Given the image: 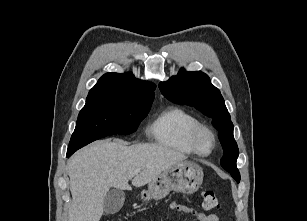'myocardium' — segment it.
Returning <instances> with one entry per match:
<instances>
[{"label":"myocardium","instance_id":"1","mask_svg":"<svg viewBox=\"0 0 307 221\" xmlns=\"http://www.w3.org/2000/svg\"><path fill=\"white\" fill-rule=\"evenodd\" d=\"M202 135H208L211 140V148L208 151H203L200 148L199 141ZM188 140L193 151L200 156L210 155L216 147V135L214 131L209 126L204 124H199L194 127L189 135Z\"/></svg>","mask_w":307,"mask_h":221}]
</instances>
